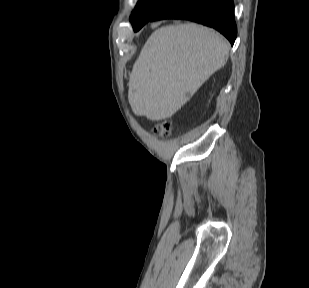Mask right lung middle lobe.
<instances>
[{"mask_svg":"<svg viewBox=\"0 0 309 288\" xmlns=\"http://www.w3.org/2000/svg\"><path fill=\"white\" fill-rule=\"evenodd\" d=\"M177 0H138L136 9L130 16L134 31L141 29L160 10L166 8Z\"/></svg>","mask_w":309,"mask_h":288,"instance_id":"dd1d6c3e","label":"right lung middle lobe"}]
</instances>
